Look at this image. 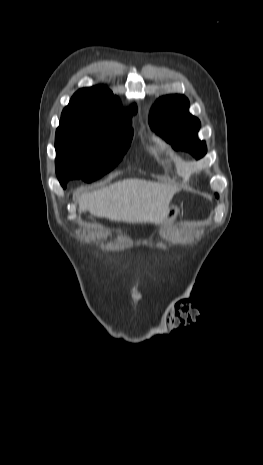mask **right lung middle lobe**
Instances as JSON below:
<instances>
[{
    "label": "right lung middle lobe",
    "instance_id": "obj_1",
    "mask_svg": "<svg viewBox=\"0 0 263 465\" xmlns=\"http://www.w3.org/2000/svg\"><path fill=\"white\" fill-rule=\"evenodd\" d=\"M132 136L130 122L61 115L55 137L58 179L92 182L100 178L122 159Z\"/></svg>",
    "mask_w": 263,
    "mask_h": 465
}]
</instances>
